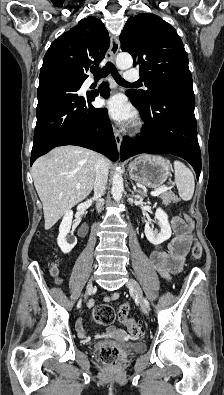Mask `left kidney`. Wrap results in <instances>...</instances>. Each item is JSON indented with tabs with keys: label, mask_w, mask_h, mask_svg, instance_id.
Masks as SVG:
<instances>
[{
	"label": "left kidney",
	"mask_w": 224,
	"mask_h": 395,
	"mask_svg": "<svg viewBox=\"0 0 224 395\" xmlns=\"http://www.w3.org/2000/svg\"><path fill=\"white\" fill-rule=\"evenodd\" d=\"M155 220L158 221V225L160 227V231H156L151 228L150 222H147L145 225V235L148 241L154 245H160L164 241L168 240L171 237L172 231L168 221L167 214L161 209L158 208L155 213Z\"/></svg>",
	"instance_id": "1"
}]
</instances>
